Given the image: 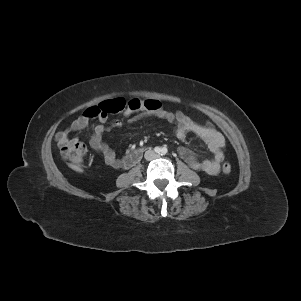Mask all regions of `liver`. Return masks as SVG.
I'll use <instances>...</instances> for the list:
<instances>
[{"label": "liver", "instance_id": "liver-1", "mask_svg": "<svg viewBox=\"0 0 301 301\" xmlns=\"http://www.w3.org/2000/svg\"><path fill=\"white\" fill-rule=\"evenodd\" d=\"M74 169H75L76 171L82 172V169H81V168L74 167Z\"/></svg>", "mask_w": 301, "mask_h": 301}]
</instances>
